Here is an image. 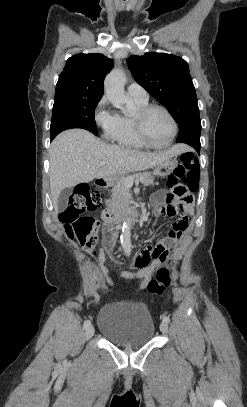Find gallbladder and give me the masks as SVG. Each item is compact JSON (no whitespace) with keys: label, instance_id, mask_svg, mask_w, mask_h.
I'll return each instance as SVG.
<instances>
[{"label":"gallbladder","instance_id":"obj_1","mask_svg":"<svg viewBox=\"0 0 247 407\" xmlns=\"http://www.w3.org/2000/svg\"><path fill=\"white\" fill-rule=\"evenodd\" d=\"M72 194V188H66L61 191L58 198V210L63 211L68 207V198Z\"/></svg>","mask_w":247,"mask_h":407}]
</instances>
